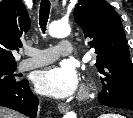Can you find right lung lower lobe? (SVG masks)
Instances as JSON below:
<instances>
[{
  "label": "right lung lower lobe",
  "instance_id": "right-lung-lower-lobe-1",
  "mask_svg": "<svg viewBox=\"0 0 133 118\" xmlns=\"http://www.w3.org/2000/svg\"><path fill=\"white\" fill-rule=\"evenodd\" d=\"M38 98L32 93L27 80L15 85L0 87V106L19 111L32 118L36 117Z\"/></svg>",
  "mask_w": 133,
  "mask_h": 118
}]
</instances>
